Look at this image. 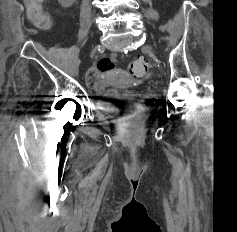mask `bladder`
<instances>
[{
    "label": "bladder",
    "mask_w": 237,
    "mask_h": 232,
    "mask_svg": "<svg viewBox=\"0 0 237 232\" xmlns=\"http://www.w3.org/2000/svg\"><path fill=\"white\" fill-rule=\"evenodd\" d=\"M115 91H111L110 97L101 102V108L105 112H115L118 109V102L115 99Z\"/></svg>",
    "instance_id": "obj_1"
}]
</instances>
